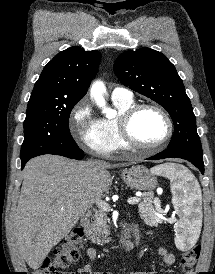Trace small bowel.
Returning <instances> with one entry per match:
<instances>
[{
    "mask_svg": "<svg viewBox=\"0 0 215 274\" xmlns=\"http://www.w3.org/2000/svg\"><path fill=\"white\" fill-rule=\"evenodd\" d=\"M158 253L162 257V261L165 266L172 267L175 264V256L172 253L167 252L164 248H159ZM86 255L88 257V262L82 267L77 268L76 272L73 274H113L111 272H92V263L97 257V251L95 248L89 247L86 250ZM168 274H172V270L167 271ZM130 274H154L150 271H137Z\"/></svg>",
    "mask_w": 215,
    "mask_h": 274,
    "instance_id": "small-bowel-1",
    "label": "small bowel"
}]
</instances>
